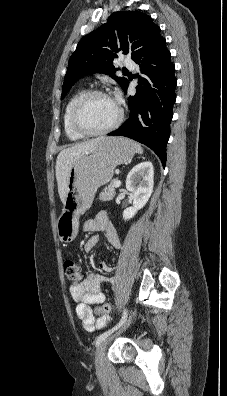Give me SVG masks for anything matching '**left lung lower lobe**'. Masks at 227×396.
I'll use <instances>...</instances> for the list:
<instances>
[{"label": "left lung lower lobe", "instance_id": "left-lung-lower-lobe-1", "mask_svg": "<svg viewBox=\"0 0 227 396\" xmlns=\"http://www.w3.org/2000/svg\"><path fill=\"white\" fill-rule=\"evenodd\" d=\"M170 57L166 41L161 37L134 60L144 77H138L136 94L128 98L130 115L127 121L108 134L145 144L159 156L164 167L177 85ZM128 84L123 88L125 92Z\"/></svg>", "mask_w": 227, "mask_h": 396}]
</instances>
